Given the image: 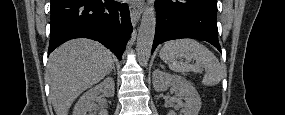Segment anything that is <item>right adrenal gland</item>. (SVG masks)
Instances as JSON below:
<instances>
[{
	"label": "right adrenal gland",
	"instance_id": "1",
	"mask_svg": "<svg viewBox=\"0 0 285 115\" xmlns=\"http://www.w3.org/2000/svg\"><path fill=\"white\" fill-rule=\"evenodd\" d=\"M112 70H113L114 72H116L115 64H114V63H113V65H112V68H111L110 72H111ZM110 72H109V73H110Z\"/></svg>",
	"mask_w": 285,
	"mask_h": 115
}]
</instances>
